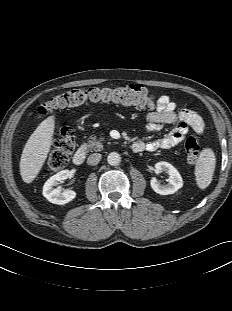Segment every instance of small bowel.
<instances>
[{"label": "small bowel", "mask_w": 232, "mask_h": 311, "mask_svg": "<svg viewBox=\"0 0 232 311\" xmlns=\"http://www.w3.org/2000/svg\"><path fill=\"white\" fill-rule=\"evenodd\" d=\"M146 131L153 133L159 131L165 125L175 124L173 130L158 140L142 142L144 150L156 151L168 150L181 143L189 131L202 134L204 121L201 116L188 108H179L177 104L167 95H161L156 100V108L145 115ZM141 142V141H138Z\"/></svg>", "instance_id": "obj_1"}]
</instances>
